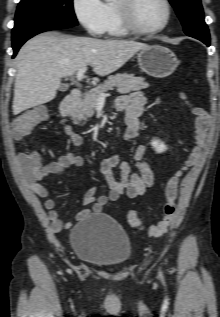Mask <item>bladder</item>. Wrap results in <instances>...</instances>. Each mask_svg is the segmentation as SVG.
I'll return each mask as SVG.
<instances>
[{
  "label": "bladder",
  "mask_w": 220,
  "mask_h": 317,
  "mask_svg": "<svg viewBox=\"0 0 220 317\" xmlns=\"http://www.w3.org/2000/svg\"><path fill=\"white\" fill-rule=\"evenodd\" d=\"M70 243L82 262L100 268H120L133 254L125 230L103 213L90 214L77 223L71 230Z\"/></svg>",
  "instance_id": "obj_1"
}]
</instances>
